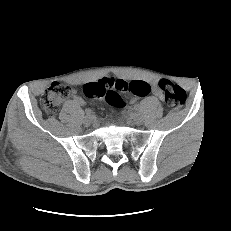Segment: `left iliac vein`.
Listing matches in <instances>:
<instances>
[{
    "mask_svg": "<svg viewBox=\"0 0 231 231\" xmlns=\"http://www.w3.org/2000/svg\"><path fill=\"white\" fill-rule=\"evenodd\" d=\"M132 120L136 125H141L143 123V118L140 116V114L132 115Z\"/></svg>",
    "mask_w": 231,
    "mask_h": 231,
    "instance_id": "4c4485c4",
    "label": "left iliac vein"
}]
</instances>
